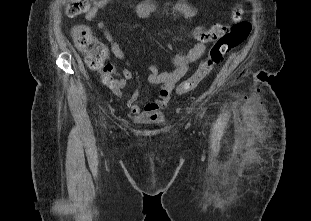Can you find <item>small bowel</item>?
<instances>
[{"label":"small bowel","instance_id":"obj_1","mask_svg":"<svg viewBox=\"0 0 311 221\" xmlns=\"http://www.w3.org/2000/svg\"><path fill=\"white\" fill-rule=\"evenodd\" d=\"M110 1L96 0L93 6L86 12V20H94ZM136 12L141 19L150 21L151 17L159 12V8L153 1L145 0L136 6ZM172 13L184 19H190L196 15V9L186 1H180L174 5ZM97 28L103 33L115 58L124 60L125 54L118 42L108 31L106 24L103 21H98ZM205 50L206 46L203 42H197L184 50H180L173 58L175 67L171 71L161 72L156 65H150L148 67V82L150 84L160 85L158 97L141 106L139 103L140 91L139 89H135L127 100V106L130 112L140 120L158 118L161 111L168 104L175 84L186 74L189 65L197 61L205 53ZM120 74L121 79L119 80L118 86L113 89L117 95L122 94L125 81L131 79L133 76L131 70L127 67L122 68Z\"/></svg>","mask_w":311,"mask_h":221}]
</instances>
